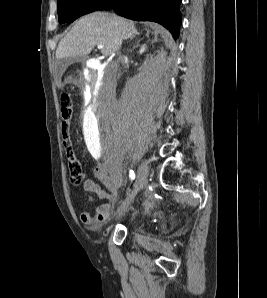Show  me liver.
Wrapping results in <instances>:
<instances>
[{"label": "liver", "mask_w": 267, "mask_h": 298, "mask_svg": "<svg viewBox=\"0 0 267 298\" xmlns=\"http://www.w3.org/2000/svg\"><path fill=\"white\" fill-rule=\"evenodd\" d=\"M132 21L106 12H93L81 17L56 50V58H73L88 55L96 45L102 44L101 53L111 56L123 42L135 33Z\"/></svg>", "instance_id": "6515ba94"}]
</instances>
